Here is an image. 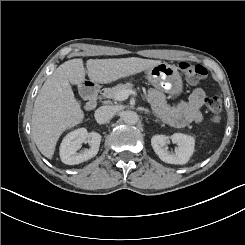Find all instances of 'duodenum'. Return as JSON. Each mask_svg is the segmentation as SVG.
<instances>
[{
	"instance_id": "410a0bca",
	"label": "duodenum",
	"mask_w": 245,
	"mask_h": 245,
	"mask_svg": "<svg viewBox=\"0 0 245 245\" xmlns=\"http://www.w3.org/2000/svg\"><path fill=\"white\" fill-rule=\"evenodd\" d=\"M84 96L87 99L86 110H93L97 106V90L95 87L89 85L83 89Z\"/></svg>"
}]
</instances>
